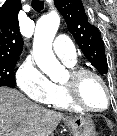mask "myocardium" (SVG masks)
I'll list each match as a JSON object with an SVG mask.
<instances>
[{"label": "myocardium", "instance_id": "f54148a6", "mask_svg": "<svg viewBox=\"0 0 117 136\" xmlns=\"http://www.w3.org/2000/svg\"><path fill=\"white\" fill-rule=\"evenodd\" d=\"M70 79L66 83H62V87L66 94L69 102L79 109L80 111L89 112V113H102L108 110L113 101V93L105 81V79L96 71L86 69V68H72L69 72ZM86 76L95 77L104 87L105 92L107 94V104L102 109H92L87 107L79 97V83Z\"/></svg>", "mask_w": 117, "mask_h": 136}]
</instances>
